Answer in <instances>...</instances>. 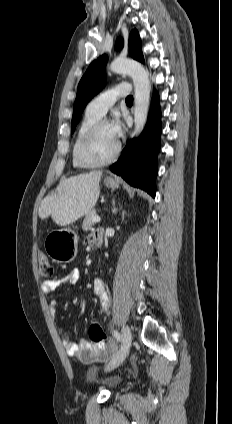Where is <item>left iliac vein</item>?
Returning <instances> with one entry per match:
<instances>
[{"label": "left iliac vein", "instance_id": "left-iliac-vein-1", "mask_svg": "<svg viewBox=\"0 0 232 424\" xmlns=\"http://www.w3.org/2000/svg\"><path fill=\"white\" fill-rule=\"evenodd\" d=\"M132 343V333L127 325L122 327V345L116 357L107 365V370L111 371L118 367L127 357Z\"/></svg>", "mask_w": 232, "mask_h": 424}]
</instances>
